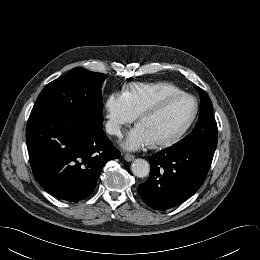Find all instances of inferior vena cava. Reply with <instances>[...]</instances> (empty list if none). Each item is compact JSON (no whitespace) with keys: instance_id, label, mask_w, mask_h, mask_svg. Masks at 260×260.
<instances>
[{"instance_id":"inferior-vena-cava-1","label":"inferior vena cava","mask_w":260,"mask_h":260,"mask_svg":"<svg viewBox=\"0 0 260 260\" xmlns=\"http://www.w3.org/2000/svg\"><path fill=\"white\" fill-rule=\"evenodd\" d=\"M106 131H107L108 134H111V135L119 136L121 134L120 125L117 122H114V121H108L107 122Z\"/></svg>"}]
</instances>
